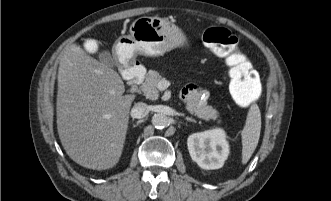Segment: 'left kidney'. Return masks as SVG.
Here are the masks:
<instances>
[{
    "mask_svg": "<svg viewBox=\"0 0 331 201\" xmlns=\"http://www.w3.org/2000/svg\"><path fill=\"white\" fill-rule=\"evenodd\" d=\"M187 146L192 160L206 170L221 168L229 155L226 133L220 128L190 135Z\"/></svg>",
    "mask_w": 331,
    "mask_h": 201,
    "instance_id": "left-kidney-1",
    "label": "left kidney"
}]
</instances>
